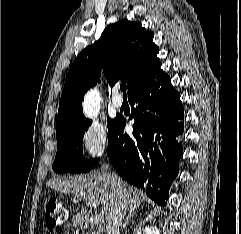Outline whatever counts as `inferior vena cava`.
I'll list each match as a JSON object with an SVG mask.
<instances>
[{"mask_svg": "<svg viewBox=\"0 0 241 234\" xmlns=\"http://www.w3.org/2000/svg\"><path fill=\"white\" fill-rule=\"evenodd\" d=\"M113 179L117 183V187L119 189V194L123 195V187L121 181L118 179L116 175H113ZM126 205L124 203H116L113 212L108 218V223L106 226L107 234H119L120 227L122 225V221L126 214Z\"/></svg>", "mask_w": 241, "mask_h": 234, "instance_id": "602c4592", "label": "inferior vena cava"}]
</instances>
